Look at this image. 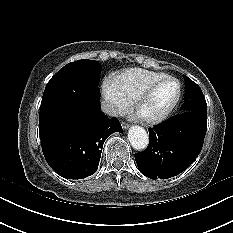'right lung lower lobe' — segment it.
<instances>
[{
  "label": "right lung lower lobe",
  "mask_w": 233,
  "mask_h": 233,
  "mask_svg": "<svg viewBox=\"0 0 233 233\" xmlns=\"http://www.w3.org/2000/svg\"><path fill=\"white\" fill-rule=\"evenodd\" d=\"M113 132H122L116 118L109 119L100 99L82 94L74 119H56L40 125L42 151L49 166L60 176L82 179L98 168L103 144Z\"/></svg>",
  "instance_id": "obj_1"
}]
</instances>
